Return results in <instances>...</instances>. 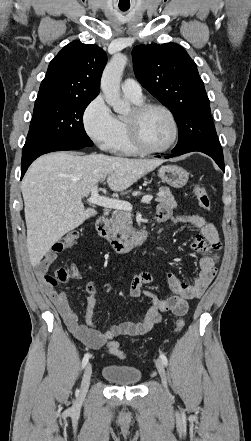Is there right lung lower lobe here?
I'll use <instances>...</instances> for the list:
<instances>
[{"mask_svg": "<svg viewBox=\"0 0 251 441\" xmlns=\"http://www.w3.org/2000/svg\"><path fill=\"white\" fill-rule=\"evenodd\" d=\"M89 146L62 143L55 139L46 138L39 135L27 136L26 143L22 151L21 178L24 176L30 164L39 156L62 150H76Z\"/></svg>", "mask_w": 251, "mask_h": 441, "instance_id": "obj_1", "label": "right lung lower lobe"}]
</instances>
